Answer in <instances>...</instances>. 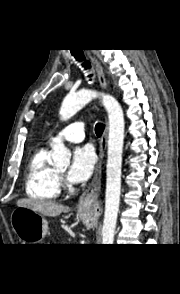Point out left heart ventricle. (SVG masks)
<instances>
[{"label": "left heart ventricle", "mask_w": 180, "mask_h": 294, "mask_svg": "<svg viewBox=\"0 0 180 294\" xmlns=\"http://www.w3.org/2000/svg\"><path fill=\"white\" fill-rule=\"evenodd\" d=\"M65 171H66L65 168L58 170V172H59L60 174H62V175L65 173Z\"/></svg>", "instance_id": "left-heart-ventricle-1"}]
</instances>
